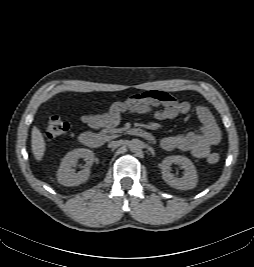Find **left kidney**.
<instances>
[{
    "label": "left kidney",
    "instance_id": "obj_1",
    "mask_svg": "<svg viewBox=\"0 0 254 267\" xmlns=\"http://www.w3.org/2000/svg\"><path fill=\"white\" fill-rule=\"evenodd\" d=\"M172 164L179 165L182 169H184V175L181 178L175 177L170 172V166ZM162 169V177L165 182L171 187L179 190H189L196 187L198 182V175L196 168L192 161L180 155H172L166 157L161 164Z\"/></svg>",
    "mask_w": 254,
    "mask_h": 267
}]
</instances>
